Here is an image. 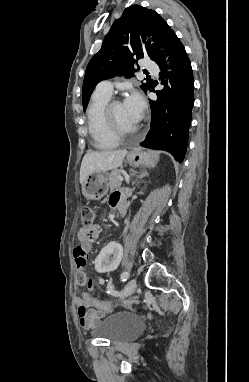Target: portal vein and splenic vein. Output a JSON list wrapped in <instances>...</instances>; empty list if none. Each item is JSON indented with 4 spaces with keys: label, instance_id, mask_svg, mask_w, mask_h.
Masks as SVG:
<instances>
[{
    "label": "portal vein and splenic vein",
    "instance_id": "portal-vein-and-splenic-vein-1",
    "mask_svg": "<svg viewBox=\"0 0 249 382\" xmlns=\"http://www.w3.org/2000/svg\"><path fill=\"white\" fill-rule=\"evenodd\" d=\"M118 180L122 182L124 179H123L122 176H119V177H118ZM127 183H128V181H127Z\"/></svg>",
    "mask_w": 249,
    "mask_h": 382
}]
</instances>
